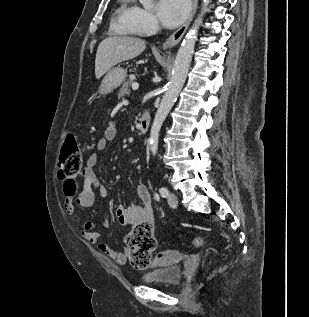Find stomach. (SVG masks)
<instances>
[{"label": "stomach", "instance_id": "0dacf381", "mask_svg": "<svg viewBox=\"0 0 309 317\" xmlns=\"http://www.w3.org/2000/svg\"><path fill=\"white\" fill-rule=\"evenodd\" d=\"M125 77L126 71L123 68H112L103 79L99 88V93L101 95H106L113 92L121 85V83L125 80Z\"/></svg>", "mask_w": 309, "mask_h": 317}]
</instances>
